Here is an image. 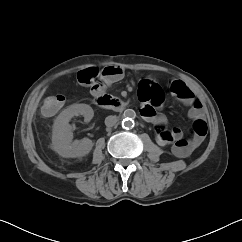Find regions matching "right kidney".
I'll list each match as a JSON object with an SVG mask.
<instances>
[{
  "mask_svg": "<svg viewBox=\"0 0 242 242\" xmlns=\"http://www.w3.org/2000/svg\"><path fill=\"white\" fill-rule=\"evenodd\" d=\"M82 115L86 122L93 116V109L87 104H73L64 109L56 118L52 132V147L62 157L77 158L86 156L93 147L89 138L72 142V127L69 124L74 116Z\"/></svg>",
  "mask_w": 242,
  "mask_h": 242,
  "instance_id": "obj_1",
  "label": "right kidney"
}]
</instances>
